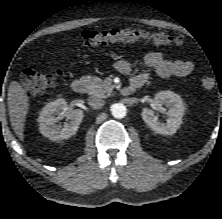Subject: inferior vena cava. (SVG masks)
<instances>
[{"label": "inferior vena cava", "mask_w": 222, "mask_h": 219, "mask_svg": "<svg viewBox=\"0 0 222 219\" xmlns=\"http://www.w3.org/2000/svg\"><path fill=\"white\" fill-rule=\"evenodd\" d=\"M88 104L92 108H101L104 105V100L99 97L91 96L88 98Z\"/></svg>", "instance_id": "602c4592"}]
</instances>
